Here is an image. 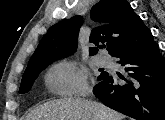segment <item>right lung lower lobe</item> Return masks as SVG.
Segmentation results:
<instances>
[{
    "mask_svg": "<svg viewBox=\"0 0 165 120\" xmlns=\"http://www.w3.org/2000/svg\"><path fill=\"white\" fill-rule=\"evenodd\" d=\"M128 78L107 76L94 87L104 105L137 120H165V58L151 32L115 56Z\"/></svg>",
    "mask_w": 165,
    "mask_h": 120,
    "instance_id": "98d812e1",
    "label": "right lung lower lobe"
}]
</instances>
